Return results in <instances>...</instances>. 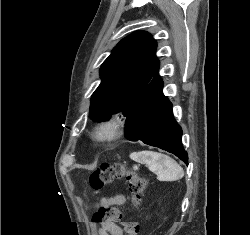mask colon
I'll return each instance as SVG.
<instances>
[{"label": "colon", "instance_id": "5ec220e1", "mask_svg": "<svg viewBox=\"0 0 250 235\" xmlns=\"http://www.w3.org/2000/svg\"><path fill=\"white\" fill-rule=\"evenodd\" d=\"M125 179L131 195L130 204L137 208L142 201V194L147 187V180L136 172L128 169L123 163L104 164L91 173L88 185L92 190H101L113 182ZM124 212L115 206L100 207L93 215V222L102 225H113L121 223L126 235H138L139 224L134 221L123 219Z\"/></svg>", "mask_w": 250, "mask_h": 235}]
</instances>
